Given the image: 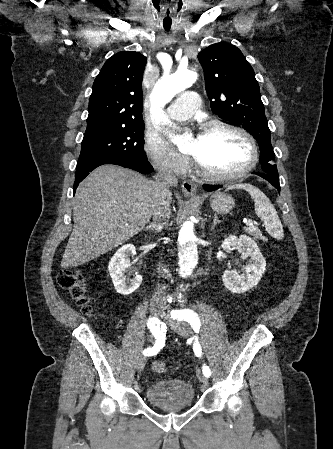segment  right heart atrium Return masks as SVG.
<instances>
[{
	"label": "right heart atrium",
	"mask_w": 333,
	"mask_h": 449,
	"mask_svg": "<svg viewBox=\"0 0 333 449\" xmlns=\"http://www.w3.org/2000/svg\"><path fill=\"white\" fill-rule=\"evenodd\" d=\"M144 151L151 164L161 172L181 176L189 168V160L169 147L157 135L146 134Z\"/></svg>",
	"instance_id": "obj_1"
}]
</instances>
